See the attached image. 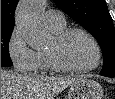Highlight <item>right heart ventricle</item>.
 <instances>
[{
    "label": "right heart ventricle",
    "instance_id": "e07e8e85",
    "mask_svg": "<svg viewBox=\"0 0 115 99\" xmlns=\"http://www.w3.org/2000/svg\"><path fill=\"white\" fill-rule=\"evenodd\" d=\"M50 29L53 31L54 34H57L59 32H61L63 29H65V25L61 26V27H52L49 26ZM37 56H38V63H37V68L38 70H49L52 69L47 56H46V51H39L37 52Z\"/></svg>",
    "mask_w": 115,
    "mask_h": 99
}]
</instances>
